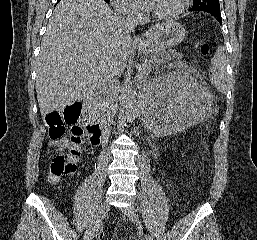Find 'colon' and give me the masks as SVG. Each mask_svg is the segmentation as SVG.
I'll return each instance as SVG.
<instances>
[{"mask_svg":"<svg viewBox=\"0 0 257 240\" xmlns=\"http://www.w3.org/2000/svg\"><path fill=\"white\" fill-rule=\"evenodd\" d=\"M210 43L204 42L200 52L203 57L210 55ZM81 107L78 104L67 106L63 112H51L46 116L50 140L64 139L67 142L65 152L56 153L50 163L49 178L58 181L63 176H70L78 170V159L82 142V129L78 125ZM71 127V134L65 137L66 128Z\"/></svg>","mask_w":257,"mask_h":240,"instance_id":"colon-1","label":"colon"}]
</instances>
